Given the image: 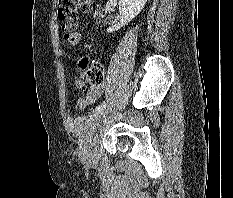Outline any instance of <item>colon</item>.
Returning <instances> with one entry per match:
<instances>
[{
    "mask_svg": "<svg viewBox=\"0 0 233 198\" xmlns=\"http://www.w3.org/2000/svg\"><path fill=\"white\" fill-rule=\"evenodd\" d=\"M92 0H59L58 18L62 22L63 35L65 40L76 45L80 42V33L77 29L76 20L79 10L87 11ZM83 60L79 61V65ZM90 88L101 86L104 81V70L99 64H94L82 77Z\"/></svg>",
    "mask_w": 233,
    "mask_h": 198,
    "instance_id": "obj_1",
    "label": "colon"
}]
</instances>
